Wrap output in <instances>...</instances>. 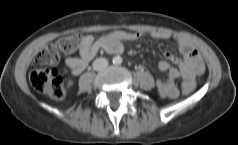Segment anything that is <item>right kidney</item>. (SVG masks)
<instances>
[{
  "mask_svg": "<svg viewBox=\"0 0 238 145\" xmlns=\"http://www.w3.org/2000/svg\"><path fill=\"white\" fill-rule=\"evenodd\" d=\"M72 85H73V81L70 80V81L68 82V86H72Z\"/></svg>",
  "mask_w": 238,
  "mask_h": 145,
  "instance_id": "obj_1",
  "label": "right kidney"
}]
</instances>
